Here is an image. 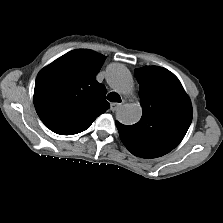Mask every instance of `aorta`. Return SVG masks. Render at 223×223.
Segmentation results:
<instances>
[{"label":"aorta","mask_w":223,"mask_h":223,"mask_svg":"<svg viewBox=\"0 0 223 223\" xmlns=\"http://www.w3.org/2000/svg\"><path fill=\"white\" fill-rule=\"evenodd\" d=\"M106 79L110 87L127 95L133 90V78L130 71L120 63H112L107 68ZM142 116V107L137 103L123 105L116 113L117 120L124 125L137 123Z\"/></svg>","instance_id":"obj_1"}]
</instances>
